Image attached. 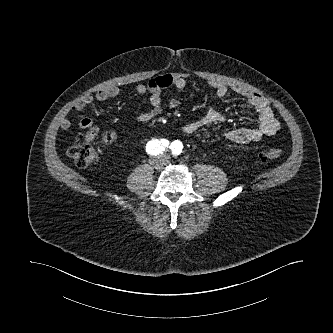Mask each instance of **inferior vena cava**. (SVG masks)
<instances>
[{"label":"inferior vena cava","instance_id":"602c4592","mask_svg":"<svg viewBox=\"0 0 333 333\" xmlns=\"http://www.w3.org/2000/svg\"><path fill=\"white\" fill-rule=\"evenodd\" d=\"M150 163H151V164H154V161H153V160H151V161H150Z\"/></svg>","mask_w":333,"mask_h":333}]
</instances>
